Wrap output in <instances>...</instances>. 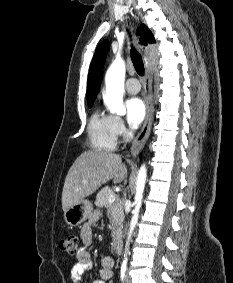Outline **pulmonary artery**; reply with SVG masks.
<instances>
[{
	"instance_id": "1",
	"label": "pulmonary artery",
	"mask_w": 233,
	"mask_h": 283,
	"mask_svg": "<svg viewBox=\"0 0 233 283\" xmlns=\"http://www.w3.org/2000/svg\"><path fill=\"white\" fill-rule=\"evenodd\" d=\"M140 83L136 78H130L125 83V90L129 94H137L140 91Z\"/></svg>"
}]
</instances>
